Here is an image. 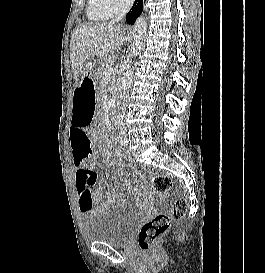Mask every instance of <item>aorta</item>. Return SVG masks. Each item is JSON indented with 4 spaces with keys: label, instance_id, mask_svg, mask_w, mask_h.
<instances>
[{
    "label": "aorta",
    "instance_id": "aorta-1",
    "mask_svg": "<svg viewBox=\"0 0 265 273\" xmlns=\"http://www.w3.org/2000/svg\"><path fill=\"white\" fill-rule=\"evenodd\" d=\"M147 34V22L144 17H139L134 24L133 28V43H132V56L137 57L140 53V50L143 45V41ZM134 75V69L128 68L125 73L123 74V77L121 78L120 88L119 92L120 95L125 94L127 90L129 89L132 79ZM119 105V101H118ZM118 112L115 116V122L118 124H121L124 119V115L122 113V109L120 106H118Z\"/></svg>",
    "mask_w": 265,
    "mask_h": 273
}]
</instances>
